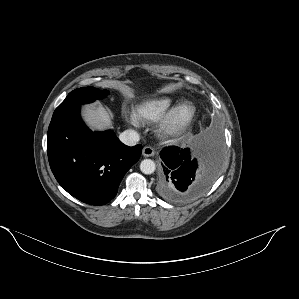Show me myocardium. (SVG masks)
<instances>
[{"instance_id":"obj_1","label":"myocardium","mask_w":299,"mask_h":299,"mask_svg":"<svg viewBox=\"0 0 299 299\" xmlns=\"http://www.w3.org/2000/svg\"><path fill=\"white\" fill-rule=\"evenodd\" d=\"M195 117V107L189 102H182L172 108L164 117L159 133L163 137H170L183 131Z\"/></svg>"}]
</instances>
